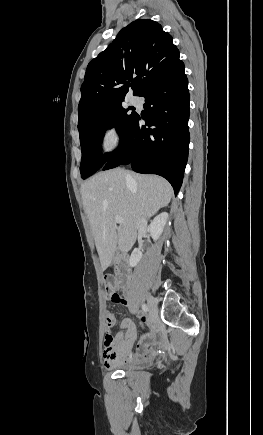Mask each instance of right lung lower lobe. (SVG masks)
<instances>
[{"label":"right lung lower lobe","instance_id":"98d812e1","mask_svg":"<svg viewBox=\"0 0 263 435\" xmlns=\"http://www.w3.org/2000/svg\"><path fill=\"white\" fill-rule=\"evenodd\" d=\"M181 62L169 74L154 82L141 96L145 113L134 123L103 170L130 164L134 171L158 174L178 193L188 159L189 91ZM145 125H141V120ZM148 126L149 128H146Z\"/></svg>","mask_w":263,"mask_h":435}]
</instances>
